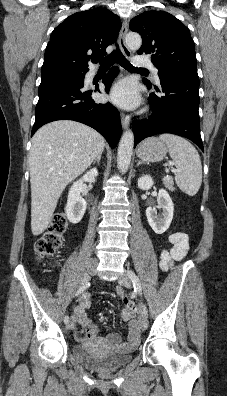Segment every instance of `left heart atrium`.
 Returning <instances> with one entry per match:
<instances>
[{
    "instance_id": "39dd6f15",
    "label": "left heart atrium",
    "mask_w": 227,
    "mask_h": 396,
    "mask_svg": "<svg viewBox=\"0 0 227 396\" xmlns=\"http://www.w3.org/2000/svg\"><path fill=\"white\" fill-rule=\"evenodd\" d=\"M109 99L123 108H133L138 104L139 97L134 83L122 80L115 84L110 92Z\"/></svg>"
}]
</instances>
